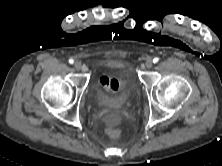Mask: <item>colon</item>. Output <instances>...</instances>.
I'll use <instances>...</instances> for the list:
<instances>
[{
    "instance_id": "1",
    "label": "colon",
    "mask_w": 222,
    "mask_h": 166,
    "mask_svg": "<svg viewBox=\"0 0 222 166\" xmlns=\"http://www.w3.org/2000/svg\"><path fill=\"white\" fill-rule=\"evenodd\" d=\"M107 134L111 138H118L120 136V130L116 127H109L107 129Z\"/></svg>"
}]
</instances>
